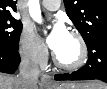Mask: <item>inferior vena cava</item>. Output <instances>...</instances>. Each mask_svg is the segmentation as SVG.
<instances>
[{
	"label": "inferior vena cava",
	"mask_w": 107,
	"mask_h": 89,
	"mask_svg": "<svg viewBox=\"0 0 107 89\" xmlns=\"http://www.w3.org/2000/svg\"><path fill=\"white\" fill-rule=\"evenodd\" d=\"M40 70L35 61L30 58L22 59L19 65L18 80L21 84L20 89H32L37 84Z\"/></svg>",
	"instance_id": "inferior-vena-cava-1"
}]
</instances>
